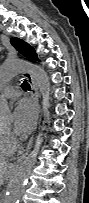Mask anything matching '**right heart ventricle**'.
Listing matches in <instances>:
<instances>
[{
  "mask_svg": "<svg viewBox=\"0 0 89 203\" xmlns=\"http://www.w3.org/2000/svg\"><path fill=\"white\" fill-rule=\"evenodd\" d=\"M14 152V147H12L8 141L7 136L0 133V159L4 160L10 157Z\"/></svg>",
  "mask_w": 89,
  "mask_h": 203,
  "instance_id": "e07e8e85",
  "label": "right heart ventricle"
}]
</instances>
